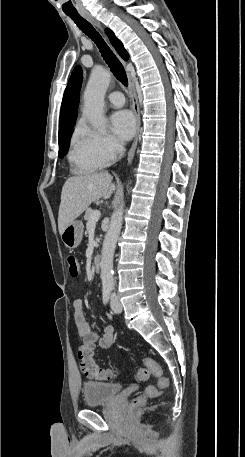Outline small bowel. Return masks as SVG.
<instances>
[{"mask_svg": "<svg viewBox=\"0 0 245 457\" xmlns=\"http://www.w3.org/2000/svg\"><path fill=\"white\" fill-rule=\"evenodd\" d=\"M73 315L78 335L83 343L89 345L98 344L101 348H108L111 346L114 328L112 326H106L101 336L94 332L85 318L83 301L81 299H75L73 301Z\"/></svg>", "mask_w": 245, "mask_h": 457, "instance_id": "1", "label": "small bowel"}]
</instances>
